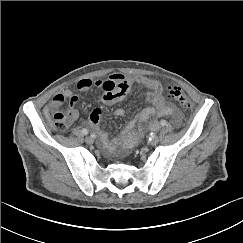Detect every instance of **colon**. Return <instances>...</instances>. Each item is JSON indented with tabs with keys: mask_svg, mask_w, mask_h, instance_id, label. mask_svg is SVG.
Listing matches in <instances>:
<instances>
[{
	"mask_svg": "<svg viewBox=\"0 0 243 243\" xmlns=\"http://www.w3.org/2000/svg\"><path fill=\"white\" fill-rule=\"evenodd\" d=\"M166 96L168 99L183 108H189L191 105L188 97L179 86H168L166 89ZM51 115L54 120V127L57 130L65 131L69 127L68 118L60 107H57L55 110H53Z\"/></svg>",
	"mask_w": 243,
	"mask_h": 243,
	"instance_id": "1",
	"label": "colon"
}]
</instances>
